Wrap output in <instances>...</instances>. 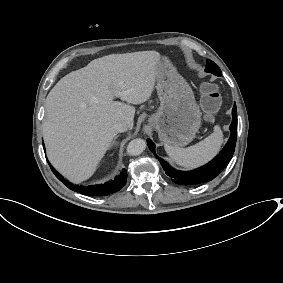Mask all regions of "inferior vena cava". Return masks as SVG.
<instances>
[{
  "mask_svg": "<svg viewBox=\"0 0 283 283\" xmlns=\"http://www.w3.org/2000/svg\"><path fill=\"white\" fill-rule=\"evenodd\" d=\"M114 128L117 132H125L127 131L129 128L128 124L126 122H120V123H116L114 125Z\"/></svg>",
  "mask_w": 283,
  "mask_h": 283,
  "instance_id": "inferior-vena-cava-1",
  "label": "inferior vena cava"
}]
</instances>
